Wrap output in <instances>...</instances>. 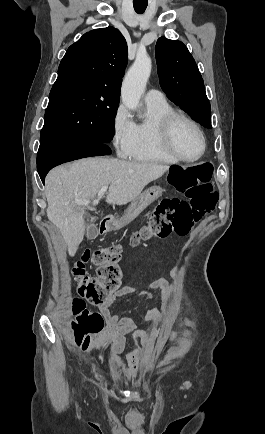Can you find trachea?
<instances>
[{
  "label": "trachea",
  "instance_id": "obj_1",
  "mask_svg": "<svg viewBox=\"0 0 265 434\" xmlns=\"http://www.w3.org/2000/svg\"><path fill=\"white\" fill-rule=\"evenodd\" d=\"M133 6L137 13H143L146 10L147 3H133Z\"/></svg>",
  "mask_w": 265,
  "mask_h": 434
}]
</instances>
